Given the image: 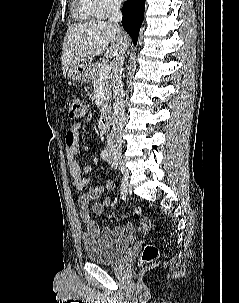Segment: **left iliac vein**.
Instances as JSON below:
<instances>
[{"instance_id": "1", "label": "left iliac vein", "mask_w": 239, "mask_h": 303, "mask_svg": "<svg viewBox=\"0 0 239 303\" xmlns=\"http://www.w3.org/2000/svg\"><path fill=\"white\" fill-rule=\"evenodd\" d=\"M109 164H110L111 167L114 168V169H117V168H118V164H117V162L115 161V158H113V157H110V158H109Z\"/></svg>"}]
</instances>
